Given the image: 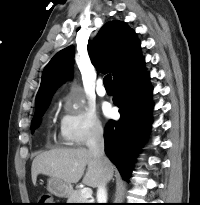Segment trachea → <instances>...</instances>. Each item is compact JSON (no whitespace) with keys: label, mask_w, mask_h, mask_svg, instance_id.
Listing matches in <instances>:
<instances>
[{"label":"trachea","mask_w":200,"mask_h":205,"mask_svg":"<svg viewBox=\"0 0 200 205\" xmlns=\"http://www.w3.org/2000/svg\"><path fill=\"white\" fill-rule=\"evenodd\" d=\"M103 83H104V86L106 88H113V85H112V78H111V75L108 74L104 77L103 79Z\"/></svg>","instance_id":"1"}]
</instances>
